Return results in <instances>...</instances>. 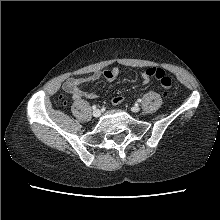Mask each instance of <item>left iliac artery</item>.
I'll return each instance as SVG.
<instances>
[{"label": "left iliac artery", "mask_w": 220, "mask_h": 220, "mask_svg": "<svg viewBox=\"0 0 220 220\" xmlns=\"http://www.w3.org/2000/svg\"><path fill=\"white\" fill-rule=\"evenodd\" d=\"M141 101H142V99H138V100H137V102H139V103H140Z\"/></svg>", "instance_id": "obj_1"}]
</instances>
